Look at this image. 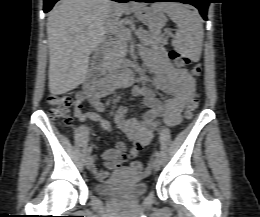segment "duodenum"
<instances>
[{
    "mask_svg": "<svg viewBox=\"0 0 260 217\" xmlns=\"http://www.w3.org/2000/svg\"><path fill=\"white\" fill-rule=\"evenodd\" d=\"M102 52V47H97V58L94 61V66L90 70L87 79L84 82L83 92L87 95L94 93H107L112 86L117 83H123L126 85L131 84L134 81L133 73L129 70H123L118 73L115 78L112 79H99L98 73L100 72V56Z\"/></svg>",
    "mask_w": 260,
    "mask_h": 217,
    "instance_id": "obj_1",
    "label": "duodenum"
}]
</instances>
